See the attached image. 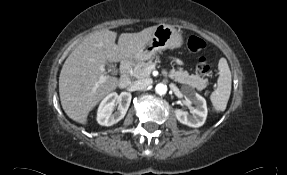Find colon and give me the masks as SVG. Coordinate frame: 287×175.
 I'll use <instances>...</instances> for the list:
<instances>
[{
	"instance_id": "1",
	"label": "colon",
	"mask_w": 287,
	"mask_h": 175,
	"mask_svg": "<svg viewBox=\"0 0 287 175\" xmlns=\"http://www.w3.org/2000/svg\"><path fill=\"white\" fill-rule=\"evenodd\" d=\"M206 44L204 40L196 35L191 36L187 41V47L192 52H200L204 50ZM196 71L201 76H206L209 74L210 71V60L202 56L199 58Z\"/></svg>"
}]
</instances>
